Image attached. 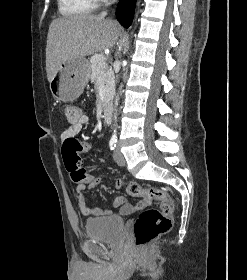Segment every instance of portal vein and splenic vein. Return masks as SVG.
Returning a JSON list of instances; mask_svg holds the SVG:
<instances>
[{
  "label": "portal vein and splenic vein",
  "instance_id": "obj_1",
  "mask_svg": "<svg viewBox=\"0 0 247 280\" xmlns=\"http://www.w3.org/2000/svg\"><path fill=\"white\" fill-rule=\"evenodd\" d=\"M102 67H103V68L107 67V64H106V63H103V64H102Z\"/></svg>",
  "mask_w": 247,
  "mask_h": 280
}]
</instances>
